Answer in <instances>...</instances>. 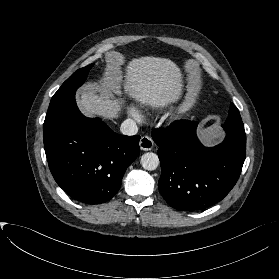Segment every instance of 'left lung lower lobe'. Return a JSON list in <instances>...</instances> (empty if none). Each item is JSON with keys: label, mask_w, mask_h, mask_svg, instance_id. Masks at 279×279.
I'll return each instance as SVG.
<instances>
[{"label": "left lung lower lobe", "mask_w": 279, "mask_h": 279, "mask_svg": "<svg viewBox=\"0 0 279 279\" xmlns=\"http://www.w3.org/2000/svg\"><path fill=\"white\" fill-rule=\"evenodd\" d=\"M222 127L225 140L210 148L198 140L194 121L178 120L152 132L159 146V191L174 209H206L222 200L236 184L246 156V134L225 124Z\"/></svg>", "instance_id": "left-lung-lower-lobe-1"}]
</instances>
